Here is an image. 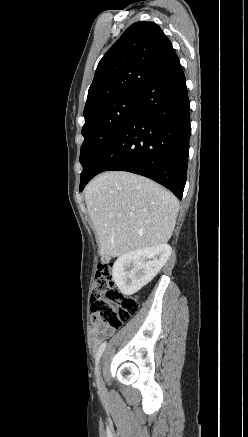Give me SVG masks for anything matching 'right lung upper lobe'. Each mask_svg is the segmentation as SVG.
<instances>
[{"instance_id": "right-lung-upper-lobe-1", "label": "right lung upper lobe", "mask_w": 248, "mask_h": 437, "mask_svg": "<svg viewBox=\"0 0 248 437\" xmlns=\"http://www.w3.org/2000/svg\"><path fill=\"white\" fill-rule=\"evenodd\" d=\"M175 57L170 40L157 24H132L100 60L88 91L84 117L119 96L138 94Z\"/></svg>"}]
</instances>
